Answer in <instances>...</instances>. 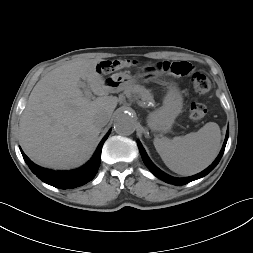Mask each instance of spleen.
I'll return each instance as SVG.
<instances>
[{"label": "spleen", "instance_id": "obj_1", "mask_svg": "<svg viewBox=\"0 0 253 253\" xmlns=\"http://www.w3.org/2000/svg\"><path fill=\"white\" fill-rule=\"evenodd\" d=\"M217 123L208 122L197 132L185 136L155 138L154 146L165 165L180 175H193L208 167L221 147Z\"/></svg>", "mask_w": 253, "mask_h": 253}]
</instances>
